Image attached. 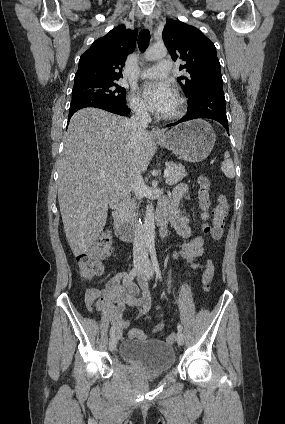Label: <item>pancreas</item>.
I'll return each instance as SVG.
<instances>
[{
	"instance_id": "obj_1",
	"label": "pancreas",
	"mask_w": 285,
	"mask_h": 424,
	"mask_svg": "<svg viewBox=\"0 0 285 424\" xmlns=\"http://www.w3.org/2000/svg\"><path fill=\"white\" fill-rule=\"evenodd\" d=\"M168 166L171 167L170 174L166 179V184L169 186L177 184L187 175L185 167L181 164L170 163ZM135 208L134 201L127 198L124 205L127 216L131 217L134 214Z\"/></svg>"
}]
</instances>
